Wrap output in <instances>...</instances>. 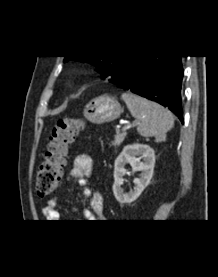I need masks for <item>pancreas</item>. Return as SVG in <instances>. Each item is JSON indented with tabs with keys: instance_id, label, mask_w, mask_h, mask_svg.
<instances>
[{
	"instance_id": "pancreas-1",
	"label": "pancreas",
	"mask_w": 218,
	"mask_h": 277,
	"mask_svg": "<svg viewBox=\"0 0 218 277\" xmlns=\"http://www.w3.org/2000/svg\"><path fill=\"white\" fill-rule=\"evenodd\" d=\"M126 133H117V135L115 136L114 141L112 142V146H120L121 143L124 141L125 137H126Z\"/></svg>"
}]
</instances>
